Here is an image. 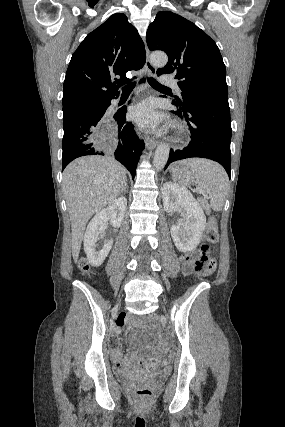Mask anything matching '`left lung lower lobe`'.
I'll use <instances>...</instances> for the list:
<instances>
[{"mask_svg": "<svg viewBox=\"0 0 285 427\" xmlns=\"http://www.w3.org/2000/svg\"><path fill=\"white\" fill-rule=\"evenodd\" d=\"M177 114L189 125L192 140L183 150H170L165 169L174 161L201 157L219 162L231 174V119L229 104L211 98H196L182 104L173 101Z\"/></svg>", "mask_w": 285, "mask_h": 427, "instance_id": "obj_1", "label": "left lung lower lobe"}]
</instances>
